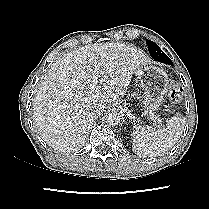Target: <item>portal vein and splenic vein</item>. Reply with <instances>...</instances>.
<instances>
[{
    "label": "portal vein and splenic vein",
    "instance_id": "obj_1",
    "mask_svg": "<svg viewBox=\"0 0 209 209\" xmlns=\"http://www.w3.org/2000/svg\"><path fill=\"white\" fill-rule=\"evenodd\" d=\"M97 84H98V76L96 73H93L92 87H95ZM151 119L154 122V124H156L157 122L161 123V120L156 116H153Z\"/></svg>",
    "mask_w": 209,
    "mask_h": 209
}]
</instances>
